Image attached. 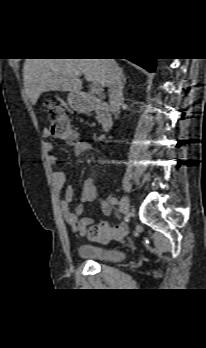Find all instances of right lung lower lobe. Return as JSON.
Masks as SVG:
<instances>
[{"instance_id": "right-lung-lower-lobe-1", "label": "right lung lower lobe", "mask_w": 206, "mask_h": 348, "mask_svg": "<svg viewBox=\"0 0 206 348\" xmlns=\"http://www.w3.org/2000/svg\"><path fill=\"white\" fill-rule=\"evenodd\" d=\"M132 62L140 65L141 67L145 68L146 70L152 72L155 70L156 63L154 58H140V59H129Z\"/></svg>"}]
</instances>
